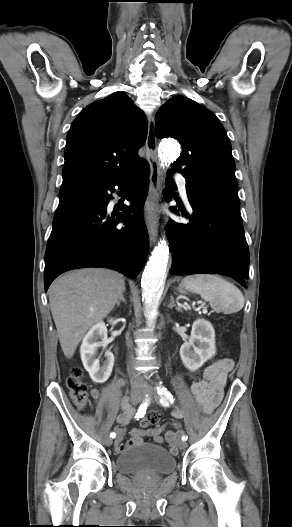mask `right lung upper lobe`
<instances>
[{
  "instance_id": "cb5924a9",
  "label": "right lung upper lobe",
  "mask_w": 292,
  "mask_h": 527,
  "mask_svg": "<svg viewBox=\"0 0 292 527\" xmlns=\"http://www.w3.org/2000/svg\"><path fill=\"white\" fill-rule=\"evenodd\" d=\"M147 119L123 92L84 108L66 138L63 183H107L138 170L137 152L145 143Z\"/></svg>"
}]
</instances>
